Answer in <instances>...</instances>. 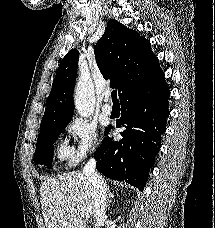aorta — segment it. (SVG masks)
<instances>
[{
  "label": "aorta",
  "instance_id": "1",
  "mask_svg": "<svg viewBox=\"0 0 215 228\" xmlns=\"http://www.w3.org/2000/svg\"><path fill=\"white\" fill-rule=\"evenodd\" d=\"M94 90L91 82H87L85 78H80L75 96L74 102L76 106V110L81 116V118H89L91 114L94 112Z\"/></svg>",
  "mask_w": 215,
  "mask_h": 228
}]
</instances>
